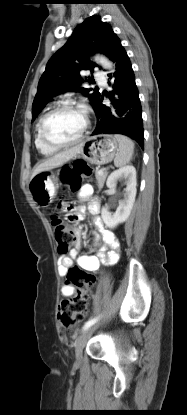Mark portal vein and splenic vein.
Segmentation results:
<instances>
[{
  "mask_svg": "<svg viewBox=\"0 0 187 415\" xmlns=\"http://www.w3.org/2000/svg\"><path fill=\"white\" fill-rule=\"evenodd\" d=\"M106 171V169L99 170V174H103Z\"/></svg>",
  "mask_w": 187,
  "mask_h": 415,
  "instance_id": "obj_1",
  "label": "portal vein and splenic vein"
}]
</instances>
